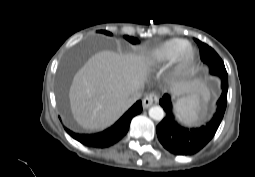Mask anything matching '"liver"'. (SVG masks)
Here are the masks:
<instances>
[{"label": "liver", "instance_id": "liver-1", "mask_svg": "<svg viewBox=\"0 0 255 177\" xmlns=\"http://www.w3.org/2000/svg\"><path fill=\"white\" fill-rule=\"evenodd\" d=\"M148 74L146 60L134 54L101 51L75 74L69 89L72 114L77 123L92 131L103 130L131 106L128 98L143 86ZM203 90L199 80L171 82L174 94Z\"/></svg>", "mask_w": 255, "mask_h": 177}]
</instances>
